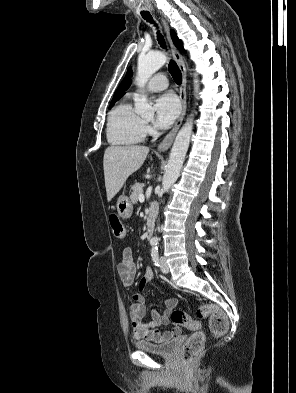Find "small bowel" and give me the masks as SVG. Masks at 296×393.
<instances>
[{"label":"small bowel","instance_id":"c3829d8e","mask_svg":"<svg viewBox=\"0 0 296 393\" xmlns=\"http://www.w3.org/2000/svg\"><path fill=\"white\" fill-rule=\"evenodd\" d=\"M117 273L122 283L130 287L133 284L136 267L133 259L132 250L125 248L122 258L116 266ZM160 282L156 279L152 269H146L143 277L139 281L138 291L132 294V302L129 307V317L132 324L133 336L138 340H146L153 343H160L164 340L177 336L181 329L174 326L172 331L161 332L159 328L163 325L171 324L170 314L177 307L178 299L170 298L165 301V310L162 314L156 308L151 311V320L143 322V318L147 311L146 299L142 292L149 283Z\"/></svg>","mask_w":296,"mask_h":393}]
</instances>
